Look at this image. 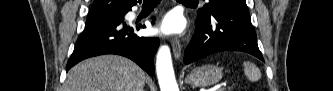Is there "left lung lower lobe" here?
<instances>
[{
  "label": "left lung lower lobe",
  "instance_id": "0a47b994",
  "mask_svg": "<svg viewBox=\"0 0 333 91\" xmlns=\"http://www.w3.org/2000/svg\"><path fill=\"white\" fill-rule=\"evenodd\" d=\"M195 26L184 53L186 64L220 51H242L264 61L246 3L217 5L209 14L197 16Z\"/></svg>",
  "mask_w": 333,
  "mask_h": 91
}]
</instances>
